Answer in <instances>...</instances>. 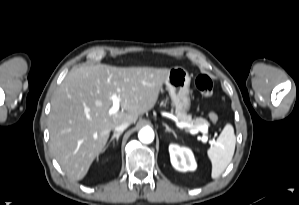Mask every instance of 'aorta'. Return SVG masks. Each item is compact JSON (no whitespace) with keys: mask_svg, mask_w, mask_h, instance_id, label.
Returning a JSON list of instances; mask_svg holds the SVG:
<instances>
[{"mask_svg":"<svg viewBox=\"0 0 299 205\" xmlns=\"http://www.w3.org/2000/svg\"><path fill=\"white\" fill-rule=\"evenodd\" d=\"M138 138L142 143L149 144L154 140V131L150 127H144L139 131Z\"/></svg>","mask_w":299,"mask_h":205,"instance_id":"1","label":"aorta"}]
</instances>
